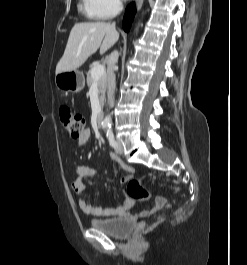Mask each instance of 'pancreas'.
<instances>
[{
  "label": "pancreas",
  "mask_w": 247,
  "mask_h": 265,
  "mask_svg": "<svg viewBox=\"0 0 247 265\" xmlns=\"http://www.w3.org/2000/svg\"><path fill=\"white\" fill-rule=\"evenodd\" d=\"M97 66V65H92L91 69L89 70L87 74V85L88 87L91 86L94 83V79L91 76V71L92 69ZM97 85H98V90L100 93V102L102 103L104 98H105V92H106V86H107V77L106 75H102L98 80H97Z\"/></svg>",
  "instance_id": "cf45deb5"
}]
</instances>
